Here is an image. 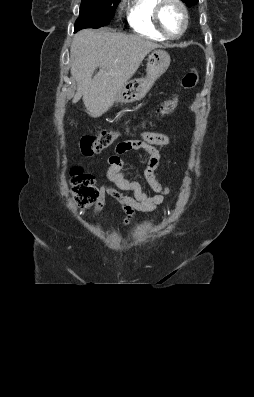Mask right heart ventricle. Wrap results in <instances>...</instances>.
Wrapping results in <instances>:
<instances>
[{
  "label": "right heart ventricle",
  "mask_w": 254,
  "mask_h": 397,
  "mask_svg": "<svg viewBox=\"0 0 254 397\" xmlns=\"http://www.w3.org/2000/svg\"><path fill=\"white\" fill-rule=\"evenodd\" d=\"M158 0H131L128 5L127 18L131 29L146 38L163 41L155 27L153 13Z\"/></svg>",
  "instance_id": "e07e8e85"
}]
</instances>
